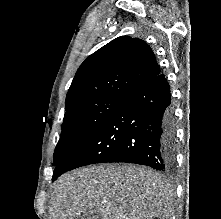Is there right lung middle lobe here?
<instances>
[{
	"mask_svg": "<svg viewBox=\"0 0 221 219\" xmlns=\"http://www.w3.org/2000/svg\"><path fill=\"white\" fill-rule=\"evenodd\" d=\"M121 99L101 98L80 103L66 110L62 132L54 151L53 165L80 148L106 121Z\"/></svg>",
	"mask_w": 221,
	"mask_h": 219,
	"instance_id": "obj_1",
	"label": "right lung middle lobe"
}]
</instances>
